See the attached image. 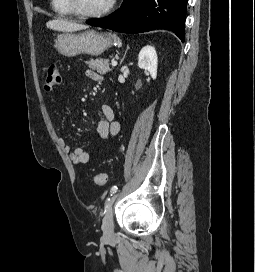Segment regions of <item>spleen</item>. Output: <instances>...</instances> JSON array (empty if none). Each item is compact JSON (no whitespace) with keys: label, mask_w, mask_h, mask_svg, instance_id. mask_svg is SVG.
<instances>
[{"label":"spleen","mask_w":255,"mask_h":272,"mask_svg":"<svg viewBox=\"0 0 255 272\" xmlns=\"http://www.w3.org/2000/svg\"><path fill=\"white\" fill-rule=\"evenodd\" d=\"M109 36L113 38V40L117 43L118 46H121V40L115 34L112 35L111 33H109Z\"/></svg>","instance_id":"spleen-1"}]
</instances>
